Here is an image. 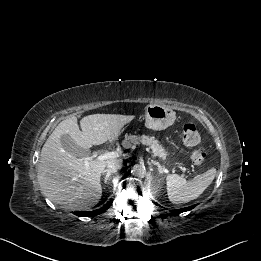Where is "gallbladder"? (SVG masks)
Here are the masks:
<instances>
[{
  "instance_id": "obj_1",
  "label": "gallbladder",
  "mask_w": 261,
  "mask_h": 261,
  "mask_svg": "<svg viewBox=\"0 0 261 261\" xmlns=\"http://www.w3.org/2000/svg\"><path fill=\"white\" fill-rule=\"evenodd\" d=\"M62 147L77 156H85L89 154V151L79 147L69 135H62L61 137Z\"/></svg>"
}]
</instances>
